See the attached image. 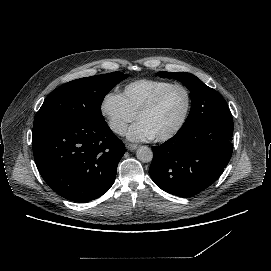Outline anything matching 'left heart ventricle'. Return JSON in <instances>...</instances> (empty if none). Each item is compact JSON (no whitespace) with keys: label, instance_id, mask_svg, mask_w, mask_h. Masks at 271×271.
<instances>
[{"label":"left heart ventricle","instance_id":"obj_1","mask_svg":"<svg viewBox=\"0 0 271 271\" xmlns=\"http://www.w3.org/2000/svg\"><path fill=\"white\" fill-rule=\"evenodd\" d=\"M187 102L185 90L176 87L167 93L154 111L142 116L138 121L147 126L153 138L163 136L179 124L185 114Z\"/></svg>","mask_w":271,"mask_h":271}]
</instances>
